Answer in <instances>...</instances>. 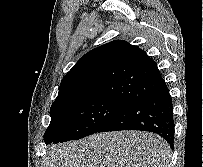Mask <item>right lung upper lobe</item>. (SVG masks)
I'll return each mask as SVG.
<instances>
[{"instance_id":"cb5924a9","label":"right lung upper lobe","mask_w":203,"mask_h":167,"mask_svg":"<svg viewBox=\"0 0 203 167\" xmlns=\"http://www.w3.org/2000/svg\"><path fill=\"white\" fill-rule=\"evenodd\" d=\"M164 85L156 62L145 51L124 40H114L80 58L62 79L51 107L85 97L131 104Z\"/></svg>"}]
</instances>
